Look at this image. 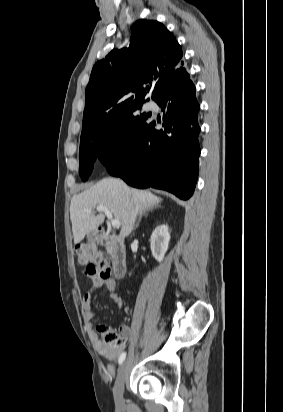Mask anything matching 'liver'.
<instances>
[{
	"label": "liver",
	"mask_w": 283,
	"mask_h": 412,
	"mask_svg": "<svg viewBox=\"0 0 283 412\" xmlns=\"http://www.w3.org/2000/svg\"><path fill=\"white\" fill-rule=\"evenodd\" d=\"M161 203V198L150 191L131 189L117 178H105L72 197L70 219L74 243L81 242L85 235L98 228L104 221L102 214L96 215L94 208L105 206L121 223L120 235L129 236L137 215ZM84 209H90L86 213Z\"/></svg>",
	"instance_id": "liver-1"
}]
</instances>
